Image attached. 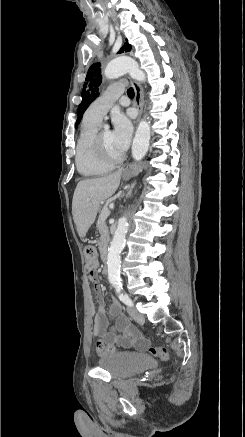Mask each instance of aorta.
I'll return each mask as SVG.
<instances>
[{
    "mask_svg": "<svg viewBox=\"0 0 245 437\" xmlns=\"http://www.w3.org/2000/svg\"><path fill=\"white\" fill-rule=\"evenodd\" d=\"M128 73L132 78L144 82L145 73L139 68L138 63L130 57H120L111 61L105 68L104 75L108 79H114ZM150 122L141 120L136 130L132 143V157L141 160L148 151L150 141ZM128 231V219L126 216L118 220L112 242L108 249L107 266L108 279L117 282L120 277V253L125 245V236Z\"/></svg>",
    "mask_w": 245,
    "mask_h": 437,
    "instance_id": "1",
    "label": "aorta"
}]
</instances>
